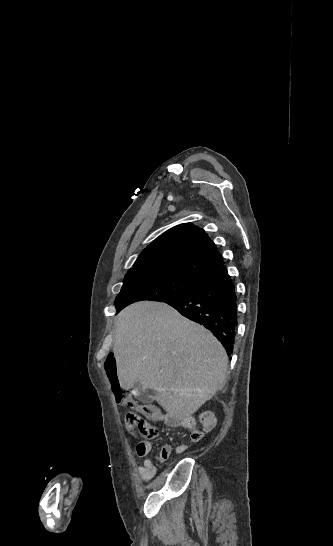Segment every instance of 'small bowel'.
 I'll return each mask as SVG.
<instances>
[{
  "mask_svg": "<svg viewBox=\"0 0 333 546\" xmlns=\"http://www.w3.org/2000/svg\"><path fill=\"white\" fill-rule=\"evenodd\" d=\"M154 421H166L170 425H180L181 423L173 418L166 417L161 413L160 410L156 409V414L150 417ZM206 421L209 423V425H212L214 423V419L212 417L206 418ZM182 425L187 426L190 431V437L192 441H199L202 436L203 432L197 428L194 424L183 422ZM153 448V444L151 441L145 440L140 441L136 445V453L139 457L143 458L142 464L138 467V472L141 477V479L144 482L150 481L156 474V462L149 458V454L151 453ZM187 450L186 444H180L175 448L176 453L181 454ZM172 452V446L170 444H166L162 447L158 460L159 461H165Z\"/></svg>",
  "mask_w": 333,
  "mask_h": 546,
  "instance_id": "obj_1",
  "label": "small bowel"
}]
</instances>
